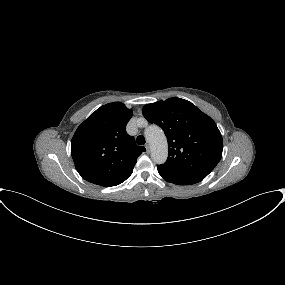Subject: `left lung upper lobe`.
I'll return each instance as SVG.
<instances>
[{
    "instance_id": "left-lung-upper-lobe-1",
    "label": "left lung upper lobe",
    "mask_w": 285,
    "mask_h": 285,
    "mask_svg": "<svg viewBox=\"0 0 285 285\" xmlns=\"http://www.w3.org/2000/svg\"><path fill=\"white\" fill-rule=\"evenodd\" d=\"M142 113L167 136L168 159L161 172L204 179L222 157L223 140L215 122L191 102L169 98L147 104Z\"/></svg>"
}]
</instances>
